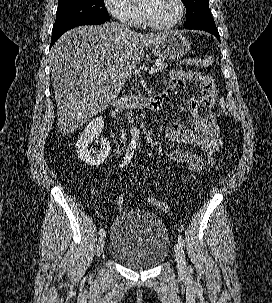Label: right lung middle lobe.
<instances>
[{"label": "right lung middle lobe", "instance_id": "dd1d6c3e", "mask_svg": "<svg viewBox=\"0 0 272 303\" xmlns=\"http://www.w3.org/2000/svg\"><path fill=\"white\" fill-rule=\"evenodd\" d=\"M84 20H109L104 0H58L53 29Z\"/></svg>", "mask_w": 272, "mask_h": 303}]
</instances>
